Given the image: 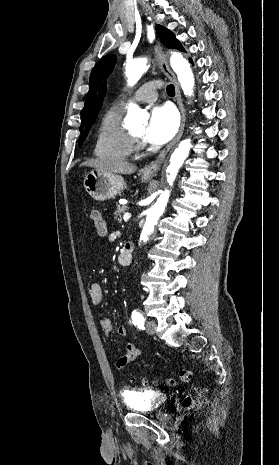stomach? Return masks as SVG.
Wrapping results in <instances>:
<instances>
[{
  "instance_id": "1",
  "label": "stomach",
  "mask_w": 279,
  "mask_h": 465,
  "mask_svg": "<svg viewBox=\"0 0 279 465\" xmlns=\"http://www.w3.org/2000/svg\"><path fill=\"white\" fill-rule=\"evenodd\" d=\"M141 179L143 182H147L151 177L143 175ZM84 188L93 199L104 201L114 198L126 188V183L119 175L95 169L86 174Z\"/></svg>"
}]
</instances>
